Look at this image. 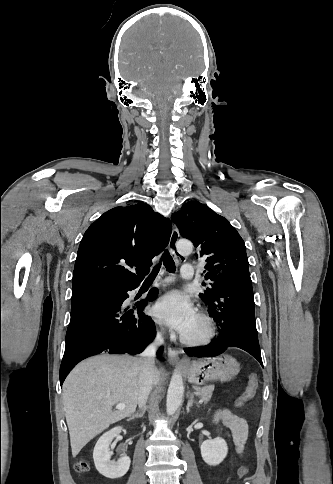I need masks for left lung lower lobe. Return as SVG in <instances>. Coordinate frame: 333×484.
<instances>
[{"label":"left lung lower lobe","instance_id":"left-lung-lower-lobe-1","mask_svg":"<svg viewBox=\"0 0 333 484\" xmlns=\"http://www.w3.org/2000/svg\"><path fill=\"white\" fill-rule=\"evenodd\" d=\"M217 286L218 301L209 305L208 312L219 326V337L205 347L186 351L187 355L213 357L229 347H238L254 356L263 366L248 265L224 270L219 275Z\"/></svg>","mask_w":333,"mask_h":484}]
</instances>
